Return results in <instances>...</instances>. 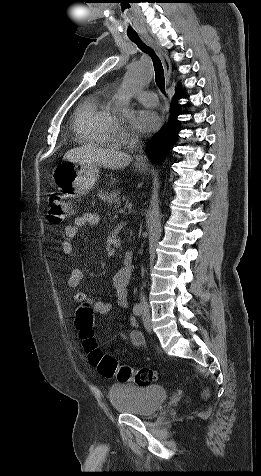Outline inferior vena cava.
<instances>
[{
  "label": "inferior vena cava",
  "instance_id": "obj_1",
  "mask_svg": "<svg viewBox=\"0 0 261 476\" xmlns=\"http://www.w3.org/2000/svg\"><path fill=\"white\" fill-rule=\"evenodd\" d=\"M129 150L130 151H133V150H138L139 153L141 154L142 152V147L140 145V142L138 140V136H133L129 142V146H128ZM137 160H143V157L142 156H138L137 157ZM141 306L143 308L144 311L148 312L149 311V305H148V302L145 298V296L143 294H141Z\"/></svg>",
  "mask_w": 261,
  "mask_h": 476
}]
</instances>
